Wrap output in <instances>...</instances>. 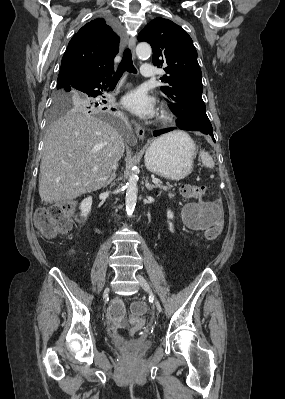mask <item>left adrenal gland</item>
<instances>
[{
    "instance_id": "left-adrenal-gland-1",
    "label": "left adrenal gland",
    "mask_w": 285,
    "mask_h": 399,
    "mask_svg": "<svg viewBox=\"0 0 285 399\" xmlns=\"http://www.w3.org/2000/svg\"><path fill=\"white\" fill-rule=\"evenodd\" d=\"M145 187H146L147 190H149V191H152V190L155 188L154 185H151V184L148 182V177H147V179H146V181H145Z\"/></svg>"
}]
</instances>
